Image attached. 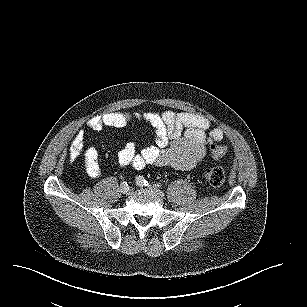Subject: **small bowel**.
I'll return each instance as SVG.
<instances>
[{
    "label": "small bowel",
    "instance_id": "1",
    "mask_svg": "<svg viewBox=\"0 0 307 307\" xmlns=\"http://www.w3.org/2000/svg\"><path fill=\"white\" fill-rule=\"evenodd\" d=\"M131 122H143L153 128L155 144L138 151L135 144L128 142L117 155L119 166H131L136 170L147 165L170 166L177 170L196 168L207 155V145L221 141L223 131L211 128L210 120L196 113L115 112L90 118L86 126L92 131L105 128H123ZM227 153V148L218 146L213 158L219 159ZM70 158L77 159L84 154V168L91 177H99L102 169L99 155L94 147L84 148V134L79 131L69 148Z\"/></svg>",
    "mask_w": 307,
    "mask_h": 307
}]
</instances>
